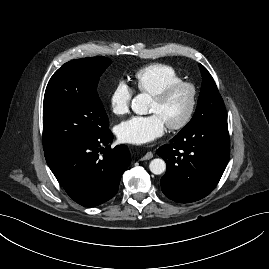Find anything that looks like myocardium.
Wrapping results in <instances>:
<instances>
[{"label": "myocardium", "instance_id": "1", "mask_svg": "<svg viewBox=\"0 0 269 269\" xmlns=\"http://www.w3.org/2000/svg\"><path fill=\"white\" fill-rule=\"evenodd\" d=\"M179 88H187L190 91V102L182 118H180L177 121L166 124L167 127L172 130L181 129L190 122L194 114L196 104H197L198 93H197L196 86L193 83L188 82V81H178V82H174V83L166 85L160 91L152 95V98L155 99L156 101L164 102Z\"/></svg>", "mask_w": 269, "mask_h": 269}]
</instances>
